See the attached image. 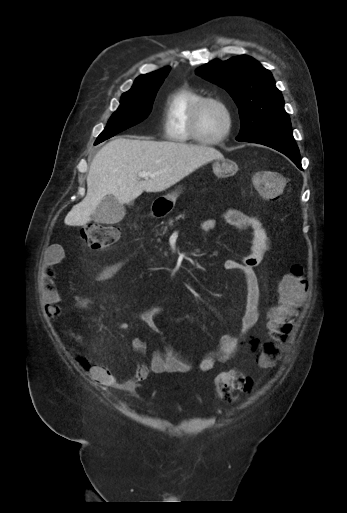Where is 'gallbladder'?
Wrapping results in <instances>:
<instances>
[{
  "mask_svg": "<svg viewBox=\"0 0 347 513\" xmlns=\"http://www.w3.org/2000/svg\"><path fill=\"white\" fill-rule=\"evenodd\" d=\"M126 214L123 204L113 196L107 195L92 214V220L101 224H115L120 222Z\"/></svg>",
  "mask_w": 347,
  "mask_h": 513,
  "instance_id": "bac80fb5",
  "label": "gallbladder"
}]
</instances>
